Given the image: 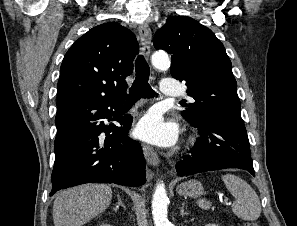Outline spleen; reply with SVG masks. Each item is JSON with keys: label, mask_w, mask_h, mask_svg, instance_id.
<instances>
[{"label": "spleen", "mask_w": 297, "mask_h": 226, "mask_svg": "<svg viewBox=\"0 0 297 226\" xmlns=\"http://www.w3.org/2000/svg\"><path fill=\"white\" fill-rule=\"evenodd\" d=\"M222 180L226 188L235 197L232 204L234 214L246 221H254L261 214V204L258 195L254 189L245 180L233 174H225ZM197 204L202 209H209L211 203L205 199H200Z\"/></svg>", "instance_id": "1"}]
</instances>
